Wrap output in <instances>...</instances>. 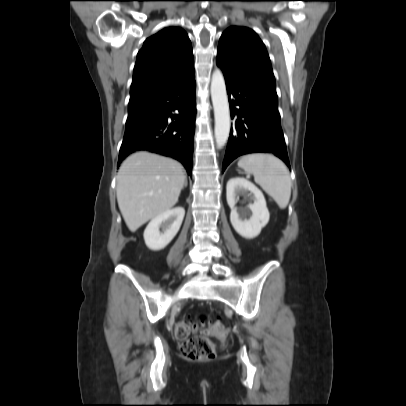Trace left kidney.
<instances>
[{
    "mask_svg": "<svg viewBox=\"0 0 406 406\" xmlns=\"http://www.w3.org/2000/svg\"><path fill=\"white\" fill-rule=\"evenodd\" d=\"M239 196L253 200V203L247 205V209L240 212L236 208ZM226 198L231 209L230 221L235 231L247 239L257 237L270 218L263 193L247 179L235 177L227 182Z\"/></svg>",
    "mask_w": 406,
    "mask_h": 406,
    "instance_id": "5707ae66",
    "label": "left kidney"
}]
</instances>
